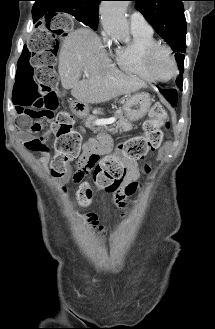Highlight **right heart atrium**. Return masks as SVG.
Wrapping results in <instances>:
<instances>
[{"instance_id":"d8ad5b80","label":"right heart atrium","mask_w":215,"mask_h":329,"mask_svg":"<svg viewBox=\"0 0 215 329\" xmlns=\"http://www.w3.org/2000/svg\"><path fill=\"white\" fill-rule=\"evenodd\" d=\"M103 40H104V42H109V38H108V36L104 33L103 34Z\"/></svg>"}]
</instances>
